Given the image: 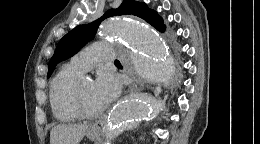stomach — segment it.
Returning a JSON list of instances; mask_svg holds the SVG:
<instances>
[{"label": "stomach", "mask_w": 260, "mask_h": 144, "mask_svg": "<svg viewBox=\"0 0 260 144\" xmlns=\"http://www.w3.org/2000/svg\"><path fill=\"white\" fill-rule=\"evenodd\" d=\"M87 137L90 140H96L100 137V132H99V130L89 129L87 131Z\"/></svg>", "instance_id": "0dacf381"}]
</instances>
